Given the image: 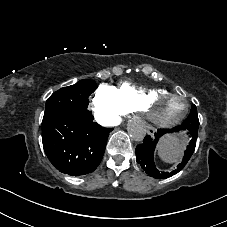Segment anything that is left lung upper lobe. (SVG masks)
Segmentation results:
<instances>
[{
  "label": "left lung upper lobe",
  "mask_w": 227,
  "mask_h": 227,
  "mask_svg": "<svg viewBox=\"0 0 227 227\" xmlns=\"http://www.w3.org/2000/svg\"><path fill=\"white\" fill-rule=\"evenodd\" d=\"M181 126L182 128L198 131L199 119L195 105L192 106L189 116L184 120Z\"/></svg>",
  "instance_id": "5c2ea615"
}]
</instances>
